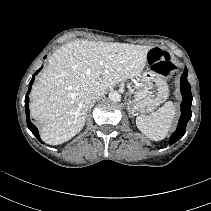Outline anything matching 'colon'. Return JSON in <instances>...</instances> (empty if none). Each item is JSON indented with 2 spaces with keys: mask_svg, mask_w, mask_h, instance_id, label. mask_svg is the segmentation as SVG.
Returning <instances> with one entry per match:
<instances>
[{
  "mask_svg": "<svg viewBox=\"0 0 211 211\" xmlns=\"http://www.w3.org/2000/svg\"><path fill=\"white\" fill-rule=\"evenodd\" d=\"M148 59L154 69L163 76H170L176 70L175 65L170 61L168 53L161 49L150 50Z\"/></svg>",
  "mask_w": 211,
  "mask_h": 211,
  "instance_id": "colon-1",
  "label": "colon"
}]
</instances>
